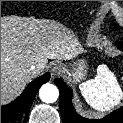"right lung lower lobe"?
<instances>
[{
    "label": "right lung lower lobe",
    "mask_w": 123,
    "mask_h": 123,
    "mask_svg": "<svg viewBox=\"0 0 123 123\" xmlns=\"http://www.w3.org/2000/svg\"><path fill=\"white\" fill-rule=\"evenodd\" d=\"M49 79L50 74L47 72L32 81L15 101L1 106V123H27L28 113L38 89Z\"/></svg>",
    "instance_id": "right-lung-lower-lobe-1"
}]
</instances>
